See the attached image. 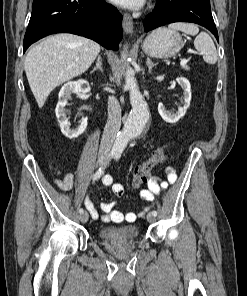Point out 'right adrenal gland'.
Wrapping results in <instances>:
<instances>
[{
	"label": "right adrenal gland",
	"mask_w": 247,
	"mask_h": 296,
	"mask_svg": "<svg viewBox=\"0 0 247 296\" xmlns=\"http://www.w3.org/2000/svg\"><path fill=\"white\" fill-rule=\"evenodd\" d=\"M96 70H100L101 72H103L102 57H101V55H98L96 66L93 68V70L91 71V73H93Z\"/></svg>",
	"instance_id": "1"
}]
</instances>
